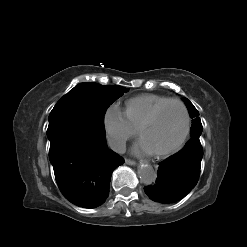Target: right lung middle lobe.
Masks as SVG:
<instances>
[{"mask_svg":"<svg viewBox=\"0 0 247 247\" xmlns=\"http://www.w3.org/2000/svg\"><path fill=\"white\" fill-rule=\"evenodd\" d=\"M128 90L118 85L80 83L56 103L49 115V122L57 119L77 118L105 133L106 109Z\"/></svg>","mask_w":247,"mask_h":247,"instance_id":"obj_1","label":"right lung middle lobe"}]
</instances>
